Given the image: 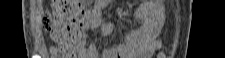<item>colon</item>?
<instances>
[{
    "label": "colon",
    "instance_id": "1",
    "mask_svg": "<svg viewBox=\"0 0 225 58\" xmlns=\"http://www.w3.org/2000/svg\"><path fill=\"white\" fill-rule=\"evenodd\" d=\"M88 1L54 0L51 11L43 15V27L54 42L52 53L55 58H74V45L79 39L84 4Z\"/></svg>",
    "mask_w": 225,
    "mask_h": 58
}]
</instances>
